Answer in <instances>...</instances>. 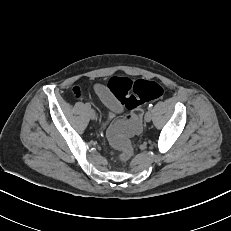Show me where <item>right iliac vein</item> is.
<instances>
[{
    "label": "right iliac vein",
    "instance_id": "63e3f726",
    "mask_svg": "<svg viewBox=\"0 0 231 231\" xmlns=\"http://www.w3.org/2000/svg\"><path fill=\"white\" fill-rule=\"evenodd\" d=\"M89 116L92 120L96 118L95 111L93 109H89Z\"/></svg>",
    "mask_w": 231,
    "mask_h": 231
}]
</instances>
